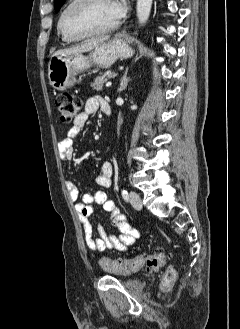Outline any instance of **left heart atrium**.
Here are the masks:
<instances>
[{
	"mask_svg": "<svg viewBox=\"0 0 240 329\" xmlns=\"http://www.w3.org/2000/svg\"><path fill=\"white\" fill-rule=\"evenodd\" d=\"M111 10L115 16V18L118 20L122 18L126 12V5L124 0H109Z\"/></svg>",
	"mask_w": 240,
	"mask_h": 329,
	"instance_id": "39dd6f15",
	"label": "left heart atrium"
}]
</instances>
